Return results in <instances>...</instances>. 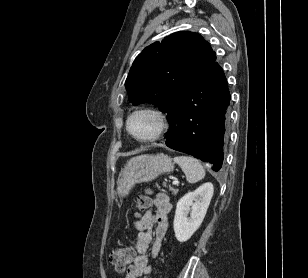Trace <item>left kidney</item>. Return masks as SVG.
<instances>
[{
	"instance_id": "1",
	"label": "left kidney",
	"mask_w": 308,
	"mask_h": 278,
	"mask_svg": "<svg viewBox=\"0 0 308 278\" xmlns=\"http://www.w3.org/2000/svg\"><path fill=\"white\" fill-rule=\"evenodd\" d=\"M214 188L212 183H205L195 191L184 195L177 203L174 217L175 237L179 242L188 241L200 227L206 215ZM190 213V218L188 214Z\"/></svg>"
}]
</instances>
